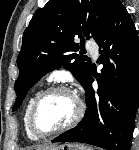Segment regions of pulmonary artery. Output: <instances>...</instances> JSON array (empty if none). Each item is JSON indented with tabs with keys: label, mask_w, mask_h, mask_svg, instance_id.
Returning <instances> with one entry per match:
<instances>
[{
	"label": "pulmonary artery",
	"mask_w": 139,
	"mask_h": 150,
	"mask_svg": "<svg viewBox=\"0 0 139 150\" xmlns=\"http://www.w3.org/2000/svg\"><path fill=\"white\" fill-rule=\"evenodd\" d=\"M86 49L93 55L94 58L98 56V45L93 41L86 43Z\"/></svg>",
	"instance_id": "pulmonary-artery-1"
}]
</instances>
